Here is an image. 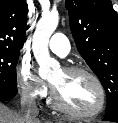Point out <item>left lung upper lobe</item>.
<instances>
[{
    "label": "left lung upper lobe",
    "mask_w": 118,
    "mask_h": 123,
    "mask_svg": "<svg viewBox=\"0 0 118 123\" xmlns=\"http://www.w3.org/2000/svg\"><path fill=\"white\" fill-rule=\"evenodd\" d=\"M80 55L107 95L106 115L118 112V15L110 0H66Z\"/></svg>",
    "instance_id": "obj_1"
}]
</instances>
